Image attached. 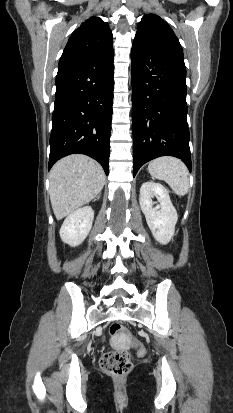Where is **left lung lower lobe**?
<instances>
[{"mask_svg": "<svg viewBox=\"0 0 233 413\" xmlns=\"http://www.w3.org/2000/svg\"><path fill=\"white\" fill-rule=\"evenodd\" d=\"M131 65L134 176L160 156L181 159L191 172L184 58L133 44Z\"/></svg>", "mask_w": 233, "mask_h": 413, "instance_id": "left-lung-lower-lobe-1", "label": "left lung lower lobe"}]
</instances>
